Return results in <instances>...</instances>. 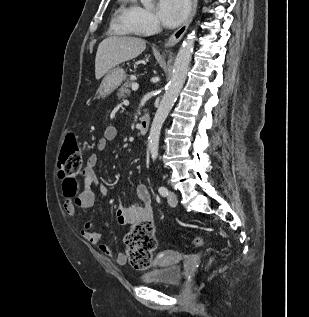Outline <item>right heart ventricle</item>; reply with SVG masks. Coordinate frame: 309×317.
Returning a JSON list of instances; mask_svg holds the SVG:
<instances>
[{
    "mask_svg": "<svg viewBox=\"0 0 309 317\" xmlns=\"http://www.w3.org/2000/svg\"><path fill=\"white\" fill-rule=\"evenodd\" d=\"M120 1L121 5L117 11L116 24L123 34L135 35L137 31L128 22V15L132 6L128 4V0Z\"/></svg>",
    "mask_w": 309,
    "mask_h": 317,
    "instance_id": "right-heart-ventricle-1",
    "label": "right heart ventricle"
}]
</instances>
